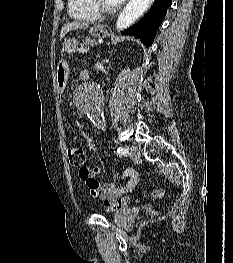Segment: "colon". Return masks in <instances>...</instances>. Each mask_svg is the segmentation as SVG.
Wrapping results in <instances>:
<instances>
[{
	"label": "colon",
	"instance_id": "colon-1",
	"mask_svg": "<svg viewBox=\"0 0 233 263\" xmlns=\"http://www.w3.org/2000/svg\"><path fill=\"white\" fill-rule=\"evenodd\" d=\"M69 162L73 167L79 168L81 176H88V169L84 165L86 161V153L80 147H70L68 149ZM165 195V191L162 188L154 189L150 192V196L154 199H160Z\"/></svg>",
	"mask_w": 233,
	"mask_h": 263
}]
</instances>
